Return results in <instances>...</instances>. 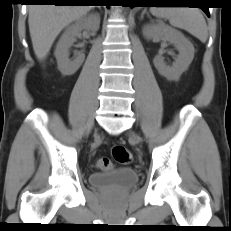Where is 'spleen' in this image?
Listing matches in <instances>:
<instances>
[{
	"mask_svg": "<svg viewBox=\"0 0 231 231\" xmlns=\"http://www.w3.org/2000/svg\"><path fill=\"white\" fill-rule=\"evenodd\" d=\"M150 12L160 18H167L170 24L189 32L201 42L208 37L206 21L197 8L189 7H152Z\"/></svg>",
	"mask_w": 231,
	"mask_h": 231,
	"instance_id": "1",
	"label": "spleen"
}]
</instances>
